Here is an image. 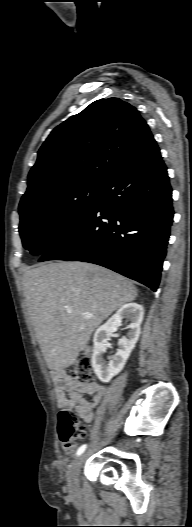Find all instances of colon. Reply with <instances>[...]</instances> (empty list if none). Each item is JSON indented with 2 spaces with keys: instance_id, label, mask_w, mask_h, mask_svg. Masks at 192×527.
Here are the masks:
<instances>
[{
  "instance_id": "obj_1",
  "label": "colon",
  "mask_w": 192,
  "mask_h": 527,
  "mask_svg": "<svg viewBox=\"0 0 192 527\" xmlns=\"http://www.w3.org/2000/svg\"><path fill=\"white\" fill-rule=\"evenodd\" d=\"M91 370V360L84 357L69 368V377L76 382L88 384L92 378ZM86 433V428L80 424L72 408L64 405L58 414V434L65 449L72 451L85 438Z\"/></svg>"
}]
</instances>
